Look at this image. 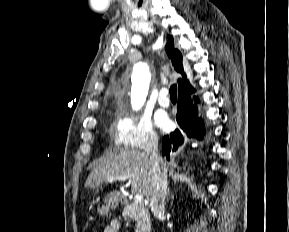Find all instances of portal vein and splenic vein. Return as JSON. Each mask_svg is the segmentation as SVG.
<instances>
[{
	"mask_svg": "<svg viewBox=\"0 0 289 232\" xmlns=\"http://www.w3.org/2000/svg\"><path fill=\"white\" fill-rule=\"evenodd\" d=\"M116 180H119V181H126L127 180V177L126 176H111V177H108L107 181L112 183ZM135 199V203L137 204H142L143 202V195L142 194H139L137 193L134 197Z\"/></svg>",
	"mask_w": 289,
	"mask_h": 232,
	"instance_id": "18ae733b",
	"label": "portal vein and splenic vein"
}]
</instances>
